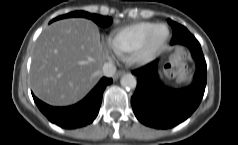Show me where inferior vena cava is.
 Returning <instances> with one entry per match:
<instances>
[{"mask_svg": "<svg viewBox=\"0 0 238 145\" xmlns=\"http://www.w3.org/2000/svg\"><path fill=\"white\" fill-rule=\"evenodd\" d=\"M116 72V66L111 63V62H107L104 63L103 67H102V74L106 77H112Z\"/></svg>", "mask_w": 238, "mask_h": 145, "instance_id": "602c4592", "label": "inferior vena cava"}]
</instances>
